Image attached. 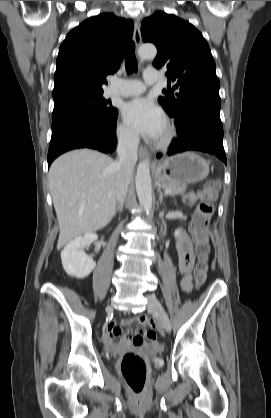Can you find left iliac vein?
I'll return each mask as SVG.
<instances>
[{"instance_id":"1","label":"left iliac vein","mask_w":271,"mask_h":418,"mask_svg":"<svg viewBox=\"0 0 271 418\" xmlns=\"http://www.w3.org/2000/svg\"><path fill=\"white\" fill-rule=\"evenodd\" d=\"M146 298L148 300V310L155 313L157 318L160 321V324L162 327L167 331H171V322L169 317L167 316L164 308L162 307L161 303L158 301L155 295L148 294L146 295Z\"/></svg>"}]
</instances>
